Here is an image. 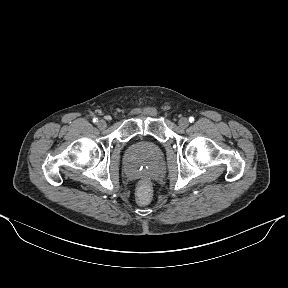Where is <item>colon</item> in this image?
<instances>
[{
	"mask_svg": "<svg viewBox=\"0 0 288 288\" xmlns=\"http://www.w3.org/2000/svg\"><path fill=\"white\" fill-rule=\"evenodd\" d=\"M152 197V187L146 180L142 181L136 192V199L139 204H148Z\"/></svg>",
	"mask_w": 288,
	"mask_h": 288,
	"instance_id": "obj_1",
	"label": "colon"
}]
</instances>
